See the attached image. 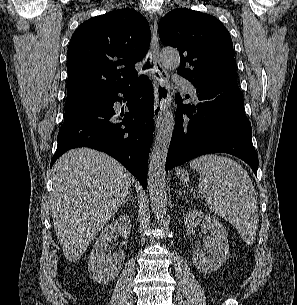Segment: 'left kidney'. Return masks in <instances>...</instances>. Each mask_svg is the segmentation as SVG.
I'll return each mask as SVG.
<instances>
[{
	"instance_id": "5707ae66",
	"label": "left kidney",
	"mask_w": 297,
	"mask_h": 305,
	"mask_svg": "<svg viewBox=\"0 0 297 305\" xmlns=\"http://www.w3.org/2000/svg\"><path fill=\"white\" fill-rule=\"evenodd\" d=\"M200 223L210 236L203 239L206 253L200 248L193 250L194 266L203 273L218 270L229 257L228 235L222 224L211 215H205L200 210H189L184 216V224L188 228H195Z\"/></svg>"
}]
</instances>
